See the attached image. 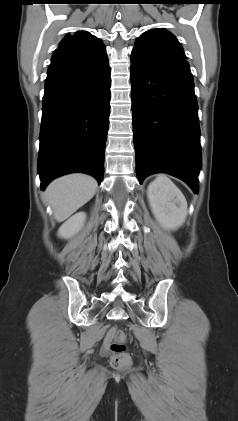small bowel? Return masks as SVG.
<instances>
[{
    "label": "small bowel",
    "instance_id": "c3829d8e",
    "mask_svg": "<svg viewBox=\"0 0 238 421\" xmlns=\"http://www.w3.org/2000/svg\"><path fill=\"white\" fill-rule=\"evenodd\" d=\"M106 342L108 343V335H107V338H106Z\"/></svg>",
    "mask_w": 238,
    "mask_h": 421
}]
</instances>
